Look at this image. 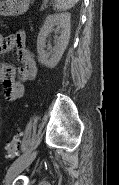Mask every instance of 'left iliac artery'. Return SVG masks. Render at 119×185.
Returning <instances> with one entry per match:
<instances>
[{
  "mask_svg": "<svg viewBox=\"0 0 119 185\" xmlns=\"http://www.w3.org/2000/svg\"><path fill=\"white\" fill-rule=\"evenodd\" d=\"M29 154V151L25 152L23 155H21L17 160L13 162V164L10 166L8 172L15 167L24 157H26Z\"/></svg>",
  "mask_w": 119,
  "mask_h": 185,
  "instance_id": "44dca946",
  "label": "left iliac artery"
}]
</instances>
